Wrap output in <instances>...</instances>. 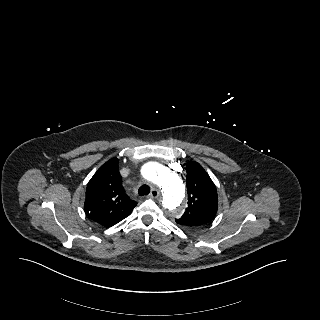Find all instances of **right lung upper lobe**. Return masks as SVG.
Instances as JSON below:
<instances>
[{
  "label": "right lung upper lobe",
  "mask_w": 320,
  "mask_h": 320,
  "mask_svg": "<svg viewBox=\"0 0 320 320\" xmlns=\"http://www.w3.org/2000/svg\"><path fill=\"white\" fill-rule=\"evenodd\" d=\"M136 205L121 185L117 158L104 163L87 184L84 210L101 226H114L129 216Z\"/></svg>",
  "instance_id": "cb5924a9"
}]
</instances>
